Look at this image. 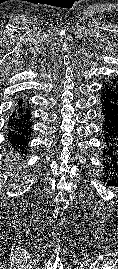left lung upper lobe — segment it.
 <instances>
[{"label": "left lung upper lobe", "mask_w": 118, "mask_h": 269, "mask_svg": "<svg viewBox=\"0 0 118 269\" xmlns=\"http://www.w3.org/2000/svg\"><path fill=\"white\" fill-rule=\"evenodd\" d=\"M107 85H109L110 87H112L113 89H118V77L117 78H112L110 79L107 83H105Z\"/></svg>", "instance_id": "obj_1"}]
</instances>
